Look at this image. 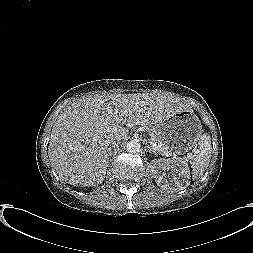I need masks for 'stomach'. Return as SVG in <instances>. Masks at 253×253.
I'll return each mask as SVG.
<instances>
[{"label":"stomach","instance_id":"stomach-1","mask_svg":"<svg viewBox=\"0 0 253 253\" xmlns=\"http://www.w3.org/2000/svg\"><path fill=\"white\" fill-rule=\"evenodd\" d=\"M164 144L178 154L193 149L203 133L201 121L191 109L174 113L155 126Z\"/></svg>","mask_w":253,"mask_h":253}]
</instances>
